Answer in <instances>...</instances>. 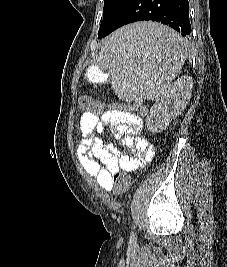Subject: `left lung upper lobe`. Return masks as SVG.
Here are the masks:
<instances>
[{"mask_svg":"<svg viewBox=\"0 0 227 267\" xmlns=\"http://www.w3.org/2000/svg\"><path fill=\"white\" fill-rule=\"evenodd\" d=\"M127 1L128 0H104L103 20L100 27L120 12Z\"/></svg>","mask_w":227,"mask_h":267,"instance_id":"obj_1","label":"left lung upper lobe"}]
</instances>
